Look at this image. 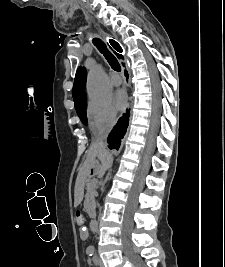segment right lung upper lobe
Listing matches in <instances>:
<instances>
[{
  "label": "right lung upper lobe",
  "instance_id": "cb5924a9",
  "mask_svg": "<svg viewBox=\"0 0 225 267\" xmlns=\"http://www.w3.org/2000/svg\"><path fill=\"white\" fill-rule=\"evenodd\" d=\"M86 76H87L86 69L84 67H79L75 75L73 91H72L75 108L79 106L84 100H86V93H85Z\"/></svg>",
  "mask_w": 225,
  "mask_h": 267
}]
</instances>
